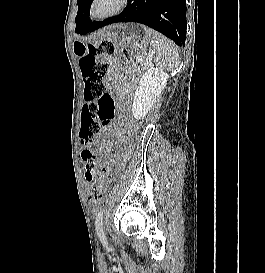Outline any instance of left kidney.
<instances>
[{"mask_svg": "<svg viewBox=\"0 0 265 273\" xmlns=\"http://www.w3.org/2000/svg\"><path fill=\"white\" fill-rule=\"evenodd\" d=\"M169 75L159 68L151 67L140 78L135 91L132 113L135 119H143L167 84Z\"/></svg>", "mask_w": 265, "mask_h": 273, "instance_id": "1", "label": "left kidney"}]
</instances>
